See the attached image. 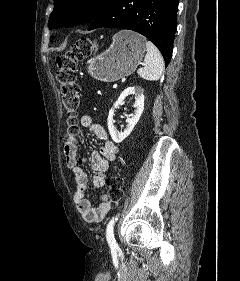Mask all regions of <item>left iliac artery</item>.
Returning <instances> with one entry per match:
<instances>
[{
  "instance_id": "44dca946",
  "label": "left iliac artery",
  "mask_w": 240,
  "mask_h": 281,
  "mask_svg": "<svg viewBox=\"0 0 240 281\" xmlns=\"http://www.w3.org/2000/svg\"><path fill=\"white\" fill-rule=\"evenodd\" d=\"M117 220H118L117 216L112 218L106 228V238H107V241H108L109 246L112 251H116L118 249V245L116 243V240H115L114 234H113L114 223Z\"/></svg>"
}]
</instances>
